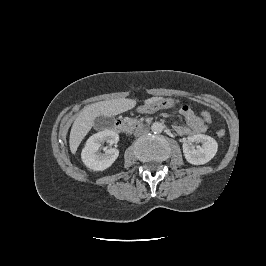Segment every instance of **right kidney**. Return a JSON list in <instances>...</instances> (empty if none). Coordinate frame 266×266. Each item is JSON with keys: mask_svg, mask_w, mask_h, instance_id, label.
Here are the masks:
<instances>
[{"mask_svg": "<svg viewBox=\"0 0 266 266\" xmlns=\"http://www.w3.org/2000/svg\"><path fill=\"white\" fill-rule=\"evenodd\" d=\"M119 141V135L112 130H103L92 135L86 142L82 150L81 158L83 163L92 170L103 171L109 168L118 158L119 151L115 148H107L104 153L98 150L102 142H107L110 145L116 144Z\"/></svg>", "mask_w": 266, "mask_h": 266, "instance_id": "right-kidney-1", "label": "right kidney"}]
</instances>
